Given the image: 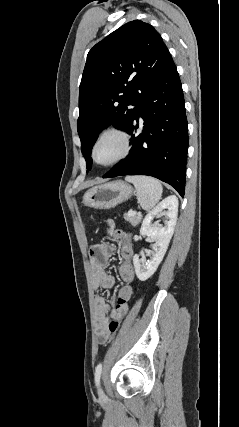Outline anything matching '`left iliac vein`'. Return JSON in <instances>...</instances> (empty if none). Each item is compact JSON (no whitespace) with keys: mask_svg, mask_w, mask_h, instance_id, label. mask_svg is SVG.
Masks as SVG:
<instances>
[{"mask_svg":"<svg viewBox=\"0 0 239 427\" xmlns=\"http://www.w3.org/2000/svg\"><path fill=\"white\" fill-rule=\"evenodd\" d=\"M99 395H100V396H103V395H104L103 390H102L101 388L99 389Z\"/></svg>","mask_w":239,"mask_h":427,"instance_id":"1","label":"left iliac vein"}]
</instances>
